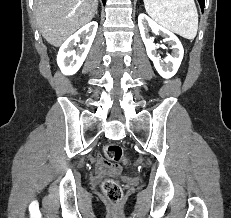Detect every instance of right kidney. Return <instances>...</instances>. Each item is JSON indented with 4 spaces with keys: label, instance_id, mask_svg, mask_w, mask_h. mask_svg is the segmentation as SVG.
<instances>
[{
    "label": "right kidney",
    "instance_id": "ca27d5eb",
    "mask_svg": "<svg viewBox=\"0 0 231 218\" xmlns=\"http://www.w3.org/2000/svg\"><path fill=\"white\" fill-rule=\"evenodd\" d=\"M97 28L98 23L92 21L79 29L62 44L57 55V64L63 74L73 75L80 69L90 50ZM81 37L83 38V43L75 51L74 46L80 41Z\"/></svg>",
    "mask_w": 231,
    "mask_h": 218
}]
</instances>
